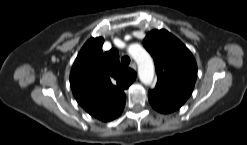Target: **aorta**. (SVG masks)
<instances>
[{
  "mask_svg": "<svg viewBox=\"0 0 247 145\" xmlns=\"http://www.w3.org/2000/svg\"><path fill=\"white\" fill-rule=\"evenodd\" d=\"M129 53L137 62L140 81L150 85L154 78V64L151 56L146 50L136 45L130 46Z\"/></svg>",
  "mask_w": 247,
  "mask_h": 145,
  "instance_id": "obj_1",
  "label": "aorta"
}]
</instances>
